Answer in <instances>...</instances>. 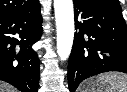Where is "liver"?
Wrapping results in <instances>:
<instances>
[{
    "instance_id": "liver-1",
    "label": "liver",
    "mask_w": 127,
    "mask_h": 92,
    "mask_svg": "<svg viewBox=\"0 0 127 92\" xmlns=\"http://www.w3.org/2000/svg\"><path fill=\"white\" fill-rule=\"evenodd\" d=\"M0 92H17V90L9 84L0 81Z\"/></svg>"
}]
</instances>
